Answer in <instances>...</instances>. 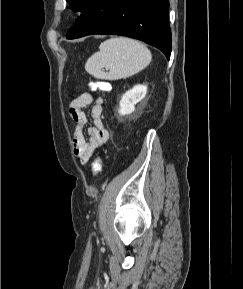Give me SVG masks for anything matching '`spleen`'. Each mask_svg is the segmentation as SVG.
<instances>
[{"label":"spleen","instance_id":"1","mask_svg":"<svg viewBox=\"0 0 243 289\" xmlns=\"http://www.w3.org/2000/svg\"><path fill=\"white\" fill-rule=\"evenodd\" d=\"M151 59L150 50L141 42L113 37L101 43L99 51L87 60L85 70L97 79L118 80L137 74Z\"/></svg>","mask_w":243,"mask_h":289}]
</instances>
